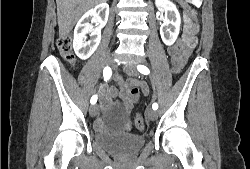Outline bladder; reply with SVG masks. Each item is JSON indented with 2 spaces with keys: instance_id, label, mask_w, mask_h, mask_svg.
Here are the masks:
<instances>
[{
  "instance_id": "obj_1",
  "label": "bladder",
  "mask_w": 250,
  "mask_h": 169,
  "mask_svg": "<svg viewBox=\"0 0 250 169\" xmlns=\"http://www.w3.org/2000/svg\"><path fill=\"white\" fill-rule=\"evenodd\" d=\"M93 143L118 157L135 155L144 147L146 134L93 133Z\"/></svg>"
}]
</instances>
